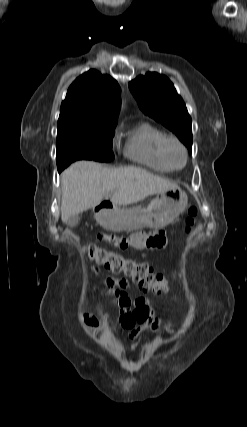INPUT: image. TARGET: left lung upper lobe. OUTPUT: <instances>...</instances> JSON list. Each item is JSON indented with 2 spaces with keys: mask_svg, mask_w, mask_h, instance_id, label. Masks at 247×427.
<instances>
[{
  "mask_svg": "<svg viewBox=\"0 0 247 427\" xmlns=\"http://www.w3.org/2000/svg\"><path fill=\"white\" fill-rule=\"evenodd\" d=\"M129 86L140 109L174 132L192 151L191 117L173 83L164 75L148 72Z\"/></svg>",
  "mask_w": 247,
  "mask_h": 427,
  "instance_id": "obj_1",
  "label": "left lung upper lobe"
}]
</instances>
